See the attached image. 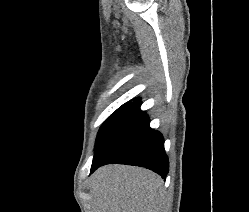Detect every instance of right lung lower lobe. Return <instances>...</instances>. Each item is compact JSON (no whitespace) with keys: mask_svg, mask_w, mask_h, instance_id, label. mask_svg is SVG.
I'll use <instances>...</instances> for the list:
<instances>
[{"mask_svg":"<svg viewBox=\"0 0 249 212\" xmlns=\"http://www.w3.org/2000/svg\"><path fill=\"white\" fill-rule=\"evenodd\" d=\"M140 105V101L131 102L111 125L95 150L91 173L100 166L119 163L145 167L165 178L169 163L163 136L150 128Z\"/></svg>","mask_w":249,"mask_h":212,"instance_id":"obj_1","label":"right lung lower lobe"}]
</instances>
